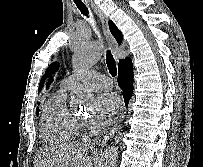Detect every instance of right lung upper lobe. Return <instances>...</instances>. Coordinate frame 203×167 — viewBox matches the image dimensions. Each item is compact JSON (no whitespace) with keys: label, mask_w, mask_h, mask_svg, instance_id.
Instances as JSON below:
<instances>
[{"label":"right lung upper lobe","mask_w":203,"mask_h":167,"mask_svg":"<svg viewBox=\"0 0 203 167\" xmlns=\"http://www.w3.org/2000/svg\"><path fill=\"white\" fill-rule=\"evenodd\" d=\"M109 28H110V31H111L112 35L117 40L118 44H121V42H122V33H121V31L116 27V25L112 21H109ZM129 59L130 58L127 57L124 60H120L119 64L126 61V60H129Z\"/></svg>","instance_id":"obj_1"}]
</instances>
